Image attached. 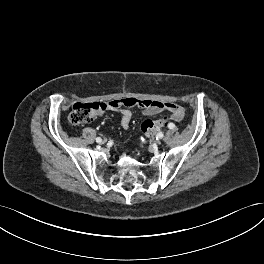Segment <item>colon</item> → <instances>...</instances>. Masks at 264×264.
Returning <instances> with one entry per match:
<instances>
[{
    "instance_id": "1",
    "label": "colon",
    "mask_w": 264,
    "mask_h": 264,
    "mask_svg": "<svg viewBox=\"0 0 264 264\" xmlns=\"http://www.w3.org/2000/svg\"><path fill=\"white\" fill-rule=\"evenodd\" d=\"M135 103L132 98H121L108 103L100 102H77L73 105L69 114V121L73 125H82L92 121L96 116L108 108L130 107ZM168 123L166 117L159 119H148L143 121L141 130L145 136L151 137L162 130Z\"/></svg>"
}]
</instances>
